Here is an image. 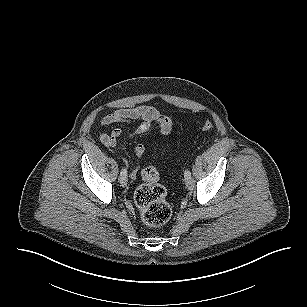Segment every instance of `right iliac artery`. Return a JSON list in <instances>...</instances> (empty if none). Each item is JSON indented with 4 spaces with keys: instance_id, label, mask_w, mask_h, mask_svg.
<instances>
[{
    "instance_id": "1",
    "label": "right iliac artery",
    "mask_w": 307,
    "mask_h": 307,
    "mask_svg": "<svg viewBox=\"0 0 307 307\" xmlns=\"http://www.w3.org/2000/svg\"><path fill=\"white\" fill-rule=\"evenodd\" d=\"M127 174V171H126V169H122L121 170V173H120V175H126Z\"/></svg>"
}]
</instances>
